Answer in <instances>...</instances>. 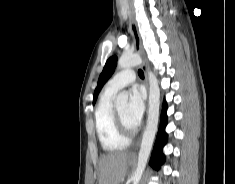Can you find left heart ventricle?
<instances>
[{
  "label": "left heart ventricle",
  "mask_w": 235,
  "mask_h": 184,
  "mask_svg": "<svg viewBox=\"0 0 235 184\" xmlns=\"http://www.w3.org/2000/svg\"><path fill=\"white\" fill-rule=\"evenodd\" d=\"M116 110L118 111L124 125L129 129H134V127L129 123V121L127 119L128 105H123Z\"/></svg>",
  "instance_id": "obj_1"
}]
</instances>
